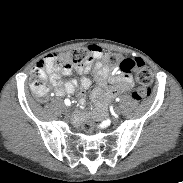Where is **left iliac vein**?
Returning <instances> with one entry per match:
<instances>
[{"instance_id":"1","label":"left iliac vein","mask_w":183,"mask_h":183,"mask_svg":"<svg viewBox=\"0 0 183 183\" xmlns=\"http://www.w3.org/2000/svg\"><path fill=\"white\" fill-rule=\"evenodd\" d=\"M114 112H115L117 115H120V114L122 113V110H121L120 107L116 106V107L114 108Z\"/></svg>"}]
</instances>
